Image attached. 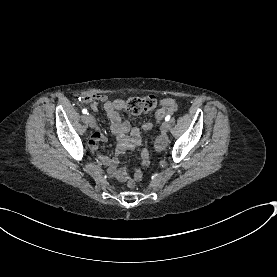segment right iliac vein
<instances>
[{"label":"right iliac vein","mask_w":277,"mask_h":277,"mask_svg":"<svg viewBox=\"0 0 277 277\" xmlns=\"http://www.w3.org/2000/svg\"><path fill=\"white\" fill-rule=\"evenodd\" d=\"M87 119H88L89 126H90L91 128H94L95 125H96L95 117H94L93 115L89 114V115L87 116Z\"/></svg>","instance_id":"1"}]
</instances>
